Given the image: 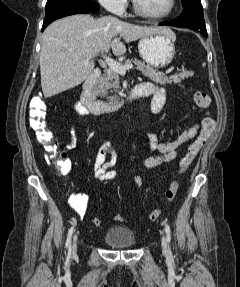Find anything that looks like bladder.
I'll list each match as a JSON object with an SVG mask.
<instances>
[{"mask_svg": "<svg viewBox=\"0 0 240 287\" xmlns=\"http://www.w3.org/2000/svg\"><path fill=\"white\" fill-rule=\"evenodd\" d=\"M103 239L108 246L113 248H129L136 244L134 233L129 228L123 226L109 229Z\"/></svg>", "mask_w": 240, "mask_h": 287, "instance_id": "bladder-1", "label": "bladder"}]
</instances>
